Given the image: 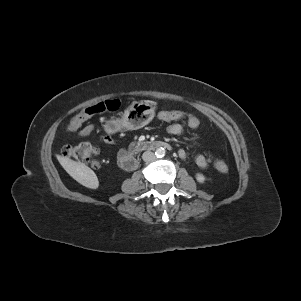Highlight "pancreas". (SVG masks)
<instances>
[{"label": "pancreas", "mask_w": 301, "mask_h": 301, "mask_svg": "<svg viewBox=\"0 0 301 301\" xmlns=\"http://www.w3.org/2000/svg\"><path fill=\"white\" fill-rule=\"evenodd\" d=\"M135 144H136V143H131V144H130V147H133V146H135Z\"/></svg>", "instance_id": "cf45deb5"}]
</instances>
